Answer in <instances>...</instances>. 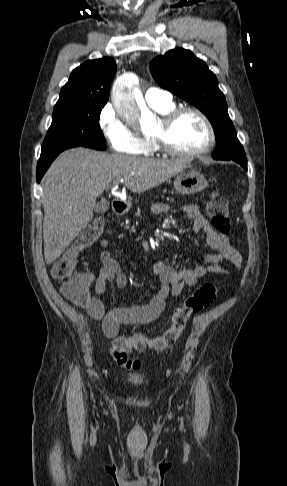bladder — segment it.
Instances as JSON below:
<instances>
[{"instance_id": "obj_1", "label": "bladder", "mask_w": 287, "mask_h": 486, "mask_svg": "<svg viewBox=\"0 0 287 486\" xmlns=\"http://www.w3.org/2000/svg\"><path fill=\"white\" fill-rule=\"evenodd\" d=\"M126 381L130 384H133V385H140L141 383H143L144 378H142L140 376H128L126 378Z\"/></svg>"}]
</instances>
